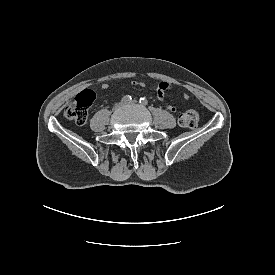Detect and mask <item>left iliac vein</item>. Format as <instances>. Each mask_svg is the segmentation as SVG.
<instances>
[{"label":"left iliac vein","instance_id":"left-iliac-vein-1","mask_svg":"<svg viewBox=\"0 0 275 275\" xmlns=\"http://www.w3.org/2000/svg\"><path fill=\"white\" fill-rule=\"evenodd\" d=\"M136 102L135 101H132V102H129V103H125L124 105H135Z\"/></svg>","mask_w":275,"mask_h":275}]
</instances>
